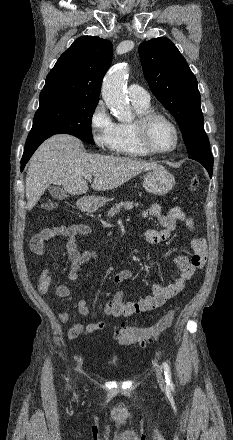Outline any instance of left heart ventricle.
I'll return each instance as SVG.
<instances>
[{
	"label": "left heart ventricle",
	"mask_w": 233,
	"mask_h": 440,
	"mask_svg": "<svg viewBox=\"0 0 233 440\" xmlns=\"http://www.w3.org/2000/svg\"><path fill=\"white\" fill-rule=\"evenodd\" d=\"M150 142L156 149H170L175 142L172 127L162 119L154 121L150 129Z\"/></svg>",
	"instance_id": "b2bd125f"
}]
</instances>
